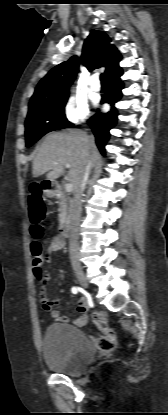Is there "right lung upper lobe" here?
<instances>
[{"instance_id": "1", "label": "right lung upper lobe", "mask_w": 168, "mask_h": 415, "mask_svg": "<svg viewBox=\"0 0 168 415\" xmlns=\"http://www.w3.org/2000/svg\"><path fill=\"white\" fill-rule=\"evenodd\" d=\"M110 41L106 33L91 30L84 41L80 59L73 56L68 61L62 62L51 69L38 83L30 100L29 110L68 97V89L76 77L80 61L90 71L105 67L108 77L122 70L119 66L121 55Z\"/></svg>"}]
</instances>
